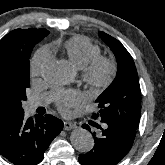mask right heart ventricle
Instances as JSON below:
<instances>
[{
  "instance_id": "obj_1",
  "label": "right heart ventricle",
  "mask_w": 165,
  "mask_h": 165,
  "mask_svg": "<svg viewBox=\"0 0 165 165\" xmlns=\"http://www.w3.org/2000/svg\"><path fill=\"white\" fill-rule=\"evenodd\" d=\"M69 63L76 68H84L91 60L100 55L98 45L88 38L76 35L58 44Z\"/></svg>"
}]
</instances>
